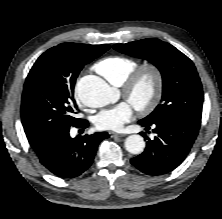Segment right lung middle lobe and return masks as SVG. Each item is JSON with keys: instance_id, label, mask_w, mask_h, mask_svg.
Instances as JSON below:
<instances>
[{"instance_id": "right-lung-middle-lobe-1", "label": "right lung middle lobe", "mask_w": 222, "mask_h": 219, "mask_svg": "<svg viewBox=\"0 0 222 219\" xmlns=\"http://www.w3.org/2000/svg\"><path fill=\"white\" fill-rule=\"evenodd\" d=\"M77 44L62 43L50 48L31 68L21 102V119L27 138H50L79 122L74 116L76 78L84 65L109 48H81Z\"/></svg>"}]
</instances>
